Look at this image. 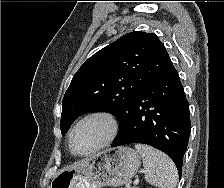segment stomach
<instances>
[{
  "label": "stomach",
  "mask_w": 224,
  "mask_h": 188,
  "mask_svg": "<svg viewBox=\"0 0 224 188\" xmlns=\"http://www.w3.org/2000/svg\"><path fill=\"white\" fill-rule=\"evenodd\" d=\"M140 167L139 154L130 147L105 149L77 167L60 171L50 188H101L121 186Z\"/></svg>",
  "instance_id": "obj_1"
}]
</instances>
